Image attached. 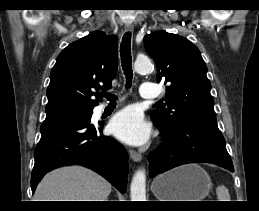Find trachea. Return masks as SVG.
<instances>
[{
  "label": "trachea",
  "mask_w": 259,
  "mask_h": 211,
  "mask_svg": "<svg viewBox=\"0 0 259 211\" xmlns=\"http://www.w3.org/2000/svg\"><path fill=\"white\" fill-rule=\"evenodd\" d=\"M120 56L122 60V68L126 77V88L131 87L133 71H132V57H131V33L127 32L122 38L120 45ZM103 97L110 101L115 100V96L108 92H101Z\"/></svg>",
  "instance_id": "1"
}]
</instances>
